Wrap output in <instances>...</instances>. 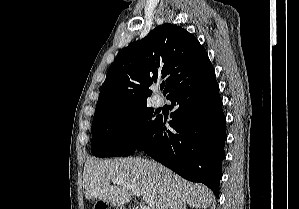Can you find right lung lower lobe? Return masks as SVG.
Here are the masks:
<instances>
[{
    "mask_svg": "<svg viewBox=\"0 0 299 209\" xmlns=\"http://www.w3.org/2000/svg\"><path fill=\"white\" fill-rule=\"evenodd\" d=\"M166 98L175 108L172 129L157 116L135 151L144 150L183 178L204 183L218 197L227 135L215 71L184 79Z\"/></svg>",
    "mask_w": 299,
    "mask_h": 209,
    "instance_id": "1",
    "label": "right lung lower lobe"
}]
</instances>
